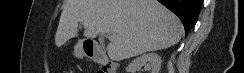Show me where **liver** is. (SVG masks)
<instances>
[{"label": "liver", "instance_id": "6515ba94", "mask_svg": "<svg viewBox=\"0 0 244 73\" xmlns=\"http://www.w3.org/2000/svg\"><path fill=\"white\" fill-rule=\"evenodd\" d=\"M115 35L107 47L113 61L167 49L177 44L183 33L179 18L157 0H67L55 35L57 47L78 35Z\"/></svg>", "mask_w": 244, "mask_h": 73}]
</instances>
